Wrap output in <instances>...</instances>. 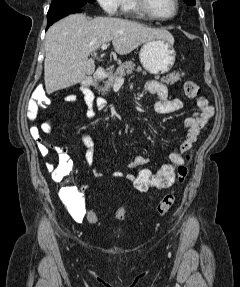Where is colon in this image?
Segmentation results:
<instances>
[{
  "label": "colon",
  "instance_id": "obj_1",
  "mask_svg": "<svg viewBox=\"0 0 240 287\" xmlns=\"http://www.w3.org/2000/svg\"><path fill=\"white\" fill-rule=\"evenodd\" d=\"M184 92L187 97L192 99L206 98L197 83L191 80H186L183 85ZM31 102L38 106H44L49 103L48 97L43 90H38L31 99ZM185 154V156H184ZM192 152L190 150L183 154L174 150L169 156V162L161 165L157 170H151L146 167L137 168V172L132 174V184L136 190L146 192L151 188L165 189L171 188L156 206V213L159 216L167 214L173 207L176 195L172 189L176 184H181L185 181L188 175V163L191 161ZM71 172V164L58 158L57 164L54 166L52 176L57 181L67 179ZM83 188V187H82ZM127 216L125 205L118 207L115 211V218L123 220ZM86 219L89 223L97 222V214L93 209L86 212Z\"/></svg>",
  "mask_w": 240,
  "mask_h": 287
}]
</instances>
